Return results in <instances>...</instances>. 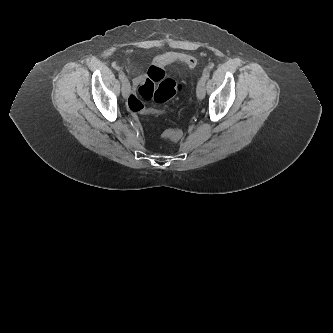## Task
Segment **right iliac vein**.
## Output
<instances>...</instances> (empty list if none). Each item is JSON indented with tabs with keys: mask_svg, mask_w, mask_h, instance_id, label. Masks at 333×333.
Wrapping results in <instances>:
<instances>
[{
	"mask_svg": "<svg viewBox=\"0 0 333 333\" xmlns=\"http://www.w3.org/2000/svg\"><path fill=\"white\" fill-rule=\"evenodd\" d=\"M130 91V85L128 82L122 84V94L123 97H127Z\"/></svg>",
	"mask_w": 333,
	"mask_h": 333,
	"instance_id": "obj_1",
	"label": "right iliac vein"
}]
</instances>
